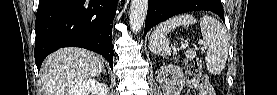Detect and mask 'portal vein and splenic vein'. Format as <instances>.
<instances>
[{"label":"portal vein and splenic vein","instance_id":"18ae733b","mask_svg":"<svg viewBox=\"0 0 277 95\" xmlns=\"http://www.w3.org/2000/svg\"><path fill=\"white\" fill-rule=\"evenodd\" d=\"M181 47H182L183 49H185V48L187 47V45L184 44V43H182V44H181Z\"/></svg>","mask_w":277,"mask_h":95}]
</instances>
